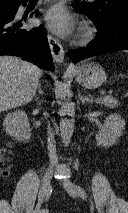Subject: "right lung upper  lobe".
I'll return each mask as SVG.
<instances>
[{
	"instance_id": "1",
	"label": "right lung upper lobe",
	"mask_w": 128,
	"mask_h": 213,
	"mask_svg": "<svg viewBox=\"0 0 128 213\" xmlns=\"http://www.w3.org/2000/svg\"><path fill=\"white\" fill-rule=\"evenodd\" d=\"M27 0H0V7H13Z\"/></svg>"
}]
</instances>
